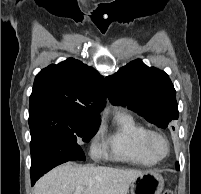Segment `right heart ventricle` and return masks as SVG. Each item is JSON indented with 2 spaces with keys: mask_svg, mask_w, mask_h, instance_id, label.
Instances as JSON below:
<instances>
[{
  "mask_svg": "<svg viewBox=\"0 0 201 194\" xmlns=\"http://www.w3.org/2000/svg\"><path fill=\"white\" fill-rule=\"evenodd\" d=\"M144 124L127 111H120L114 117V130L106 143L116 160L150 166L157 161L152 159L144 148L147 132Z\"/></svg>",
  "mask_w": 201,
  "mask_h": 194,
  "instance_id": "obj_1",
  "label": "right heart ventricle"
}]
</instances>
